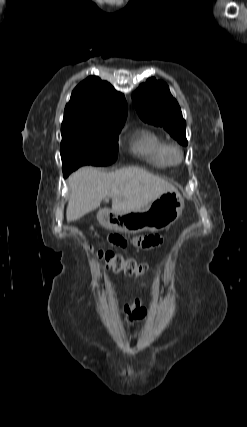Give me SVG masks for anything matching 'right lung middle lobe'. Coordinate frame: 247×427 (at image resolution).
I'll return each mask as SVG.
<instances>
[{"label":"right lung middle lobe","instance_id":"dd1d6c3e","mask_svg":"<svg viewBox=\"0 0 247 427\" xmlns=\"http://www.w3.org/2000/svg\"><path fill=\"white\" fill-rule=\"evenodd\" d=\"M123 125L103 126L78 118L63 119L61 158L64 176L81 165H110L116 161L118 134Z\"/></svg>","mask_w":247,"mask_h":427}]
</instances>
